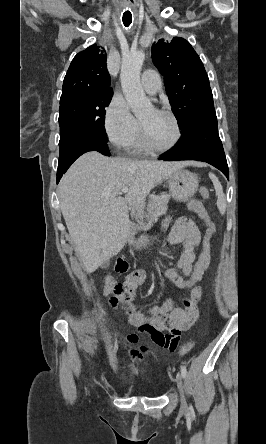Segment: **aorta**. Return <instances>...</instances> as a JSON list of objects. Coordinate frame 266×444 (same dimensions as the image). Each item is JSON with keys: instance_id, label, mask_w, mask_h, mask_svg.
Masks as SVG:
<instances>
[{"instance_id": "762f6f07", "label": "aorta", "mask_w": 266, "mask_h": 444, "mask_svg": "<svg viewBox=\"0 0 266 444\" xmlns=\"http://www.w3.org/2000/svg\"><path fill=\"white\" fill-rule=\"evenodd\" d=\"M145 59L143 51H134L125 56L121 66V85L124 96L136 117L146 114L152 109L140 83L141 68Z\"/></svg>"}]
</instances>
